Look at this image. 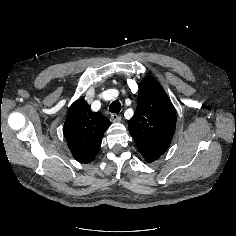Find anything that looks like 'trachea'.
<instances>
[{"label":"trachea","mask_w":236,"mask_h":236,"mask_svg":"<svg viewBox=\"0 0 236 236\" xmlns=\"http://www.w3.org/2000/svg\"><path fill=\"white\" fill-rule=\"evenodd\" d=\"M120 110H121V104L118 100L113 101L109 106V112L119 113Z\"/></svg>","instance_id":"3493384b"}]
</instances>
